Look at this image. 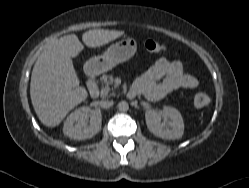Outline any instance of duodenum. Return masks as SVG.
I'll list each match as a JSON object with an SVG mask.
<instances>
[{"instance_id": "410a0bca", "label": "duodenum", "mask_w": 249, "mask_h": 188, "mask_svg": "<svg viewBox=\"0 0 249 188\" xmlns=\"http://www.w3.org/2000/svg\"><path fill=\"white\" fill-rule=\"evenodd\" d=\"M86 80L89 88V94L92 99H97L100 95V91L97 85V73L95 70L88 69L86 71ZM132 96H136L138 91L135 88L130 90Z\"/></svg>"}]
</instances>
